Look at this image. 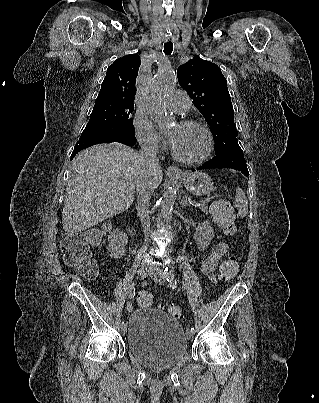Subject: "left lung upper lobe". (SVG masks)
I'll use <instances>...</instances> for the list:
<instances>
[{"label": "left lung upper lobe", "instance_id": "left-lung-upper-lobe-1", "mask_svg": "<svg viewBox=\"0 0 319 403\" xmlns=\"http://www.w3.org/2000/svg\"><path fill=\"white\" fill-rule=\"evenodd\" d=\"M177 76L179 84L189 93L193 104L210 126L216 155L230 149H241L227 80L221 69L196 57L179 66Z\"/></svg>", "mask_w": 319, "mask_h": 403}]
</instances>
